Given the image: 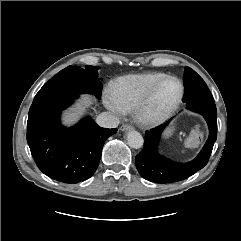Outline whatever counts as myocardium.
Here are the masks:
<instances>
[{
	"label": "myocardium",
	"mask_w": 241,
	"mask_h": 241,
	"mask_svg": "<svg viewBox=\"0 0 241 241\" xmlns=\"http://www.w3.org/2000/svg\"><path fill=\"white\" fill-rule=\"evenodd\" d=\"M167 80H175L179 84L178 97L173 103H171L164 110L156 114H150L148 109L154 98V95L158 90V88ZM183 96H184V85L182 81L176 76L166 75L161 79H159L156 83H154L150 87V89L146 92V94L143 96V98L135 106V108L133 109L134 118L140 125L144 127H154V126L160 125L161 123L166 121L178 108V106L182 102Z\"/></svg>",
	"instance_id": "1"
}]
</instances>
